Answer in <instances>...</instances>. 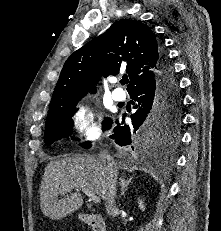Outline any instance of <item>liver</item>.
Returning a JSON list of instances; mask_svg holds the SVG:
<instances>
[{
	"instance_id": "6515ba94",
	"label": "liver",
	"mask_w": 221,
	"mask_h": 231,
	"mask_svg": "<svg viewBox=\"0 0 221 231\" xmlns=\"http://www.w3.org/2000/svg\"><path fill=\"white\" fill-rule=\"evenodd\" d=\"M82 188L106 200V173L97 158L87 154H65L51 161L40 186L42 213L59 220L78 210L83 204ZM58 195L62 198L58 199Z\"/></svg>"
}]
</instances>
